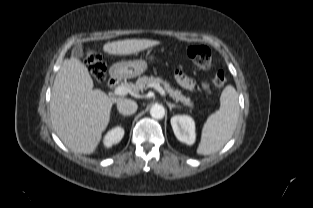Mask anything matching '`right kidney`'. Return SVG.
Masks as SVG:
<instances>
[{
  "label": "right kidney",
  "instance_id": "right-kidney-1",
  "mask_svg": "<svg viewBox=\"0 0 313 208\" xmlns=\"http://www.w3.org/2000/svg\"><path fill=\"white\" fill-rule=\"evenodd\" d=\"M124 136V129L120 126L110 130L104 138V145L109 148L114 144H117L121 141Z\"/></svg>",
  "mask_w": 313,
  "mask_h": 208
}]
</instances>
